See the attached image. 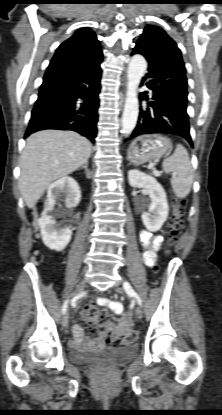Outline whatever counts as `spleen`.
<instances>
[{
  "label": "spleen",
  "mask_w": 222,
  "mask_h": 415,
  "mask_svg": "<svg viewBox=\"0 0 222 415\" xmlns=\"http://www.w3.org/2000/svg\"><path fill=\"white\" fill-rule=\"evenodd\" d=\"M165 173H172L171 186L178 198H185L191 191L193 169L187 150L180 144L176 145L174 153L163 161Z\"/></svg>",
  "instance_id": "obj_1"
}]
</instances>
